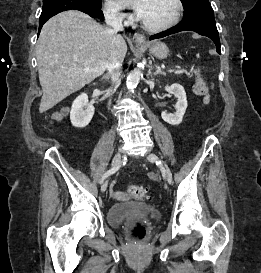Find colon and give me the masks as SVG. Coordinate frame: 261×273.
I'll list each match as a JSON object with an SVG mask.
<instances>
[{"label": "colon", "instance_id": "colon-1", "mask_svg": "<svg viewBox=\"0 0 261 273\" xmlns=\"http://www.w3.org/2000/svg\"><path fill=\"white\" fill-rule=\"evenodd\" d=\"M195 90L196 93L200 95L206 103L209 102L210 97L208 94L207 86L199 74H197ZM127 192L130 196L139 201H145L149 198L148 191L141 186L130 185L127 189ZM133 236L138 239L144 238L145 228L142 226L136 227L133 230Z\"/></svg>", "mask_w": 261, "mask_h": 273}]
</instances>
